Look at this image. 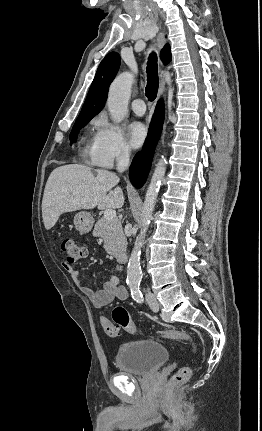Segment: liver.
<instances>
[{"label":"liver","instance_id":"6515ba94","mask_svg":"<svg viewBox=\"0 0 262 431\" xmlns=\"http://www.w3.org/2000/svg\"><path fill=\"white\" fill-rule=\"evenodd\" d=\"M119 177L108 170H93L79 164L63 165L50 174L42 200V217L50 230L66 212L81 209H118L124 205V195L117 186ZM113 187L114 190H111Z\"/></svg>","mask_w":262,"mask_h":431}]
</instances>
